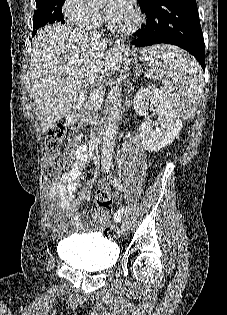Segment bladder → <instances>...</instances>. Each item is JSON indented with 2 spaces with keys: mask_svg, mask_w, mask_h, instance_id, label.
I'll list each match as a JSON object with an SVG mask.
<instances>
[{
  "mask_svg": "<svg viewBox=\"0 0 227 315\" xmlns=\"http://www.w3.org/2000/svg\"><path fill=\"white\" fill-rule=\"evenodd\" d=\"M59 253L74 268L98 271L112 268L118 261V246L98 235L67 238Z\"/></svg>",
  "mask_w": 227,
  "mask_h": 315,
  "instance_id": "1",
  "label": "bladder"
}]
</instances>
